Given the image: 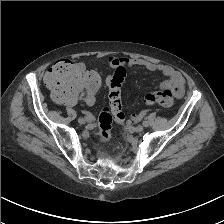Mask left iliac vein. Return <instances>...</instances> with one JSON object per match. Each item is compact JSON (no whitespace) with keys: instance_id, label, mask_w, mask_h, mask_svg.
Listing matches in <instances>:
<instances>
[{"instance_id":"4c4485c4","label":"left iliac vein","mask_w":224,"mask_h":224,"mask_svg":"<svg viewBox=\"0 0 224 224\" xmlns=\"http://www.w3.org/2000/svg\"><path fill=\"white\" fill-rule=\"evenodd\" d=\"M143 130H144L143 125H138V126L135 128V131H136L137 133H140V132H142Z\"/></svg>"}]
</instances>
